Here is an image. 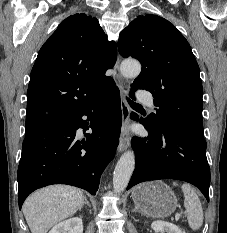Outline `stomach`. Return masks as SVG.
I'll return each mask as SVG.
<instances>
[{"instance_id":"obj_1","label":"stomach","mask_w":227,"mask_h":233,"mask_svg":"<svg viewBox=\"0 0 227 233\" xmlns=\"http://www.w3.org/2000/svg\"><path fill=\"white\" fill-rule=\"evenodd\" d=\"M132 199L142 214L155 218L168 217L178 206L175 193L162 181L138 185L132 192Z\"/></svg>"}]
</instances>
